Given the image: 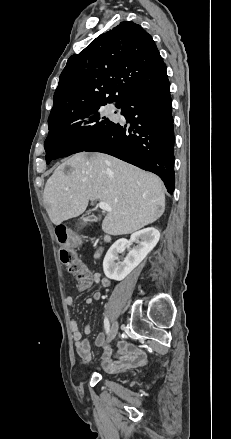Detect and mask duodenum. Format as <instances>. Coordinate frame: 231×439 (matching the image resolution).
Masks as SVG:
<instances>
[{"label": "duodenum", "instance_id": "410a0bca", "mask_svg": "<svg viewBox=\"0 0 231 439\" xmlns=\"http://www.w3.org/2000/svg\"><path fill=\"white\" fill-rule=\"evenodd\" d=\"M110 240H111V237H110L109 235H107V234L104 235V237H103V241H104V243H108V242H110ZM101 251H102V249L100 248V249L97 251L96 255L99 256L100 253H101Z\"/></svg>", "mask_w": 231, "mask_h": 439}]
</instances>
